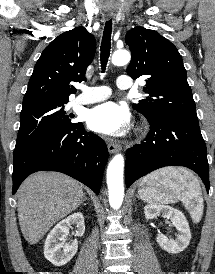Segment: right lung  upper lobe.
<instances>
[{
	"mask_svg": "<svg viewBox=\"0 0 215 274\" xmlns=\"http://www.w3.org/2000/svg\"><path fill=\"white\" fill-rule=\"evenodd\" d=\"M96 44L84 27H76L55 38L42 52L28 83L23 107L41 102H68L92 62Z\"/></svg>",
	"mask_w": 215,
	"mask_h": 274,
	"instance_id": "obj_1",
	"label": "right lung upper lobe"
}]
</instances>
